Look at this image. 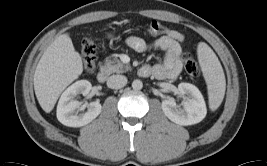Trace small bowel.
<instances>
[{
	"mask_svg": "<svg viewBox=\"0 0 267 166\" xmlns=\"http://www.w3.org/2000/svg\"><path fill=\"white\" fill-rule=\"evenodd\" d=\"M183 40L184 36L180 32L172 30L152 43H148L138 36H130L127 38L126 44L139 53L152 49L162 50L164 52L162 62L143 66L142 69L145 70L143 76L153 75L160 80H174L180 74L183 65L181 48Z\"/></svg>",
	"mask_w": 267,
	"mask_h": 166,
	"instance_id": "1",
	"label": "small bowel"
}]
</instances>
